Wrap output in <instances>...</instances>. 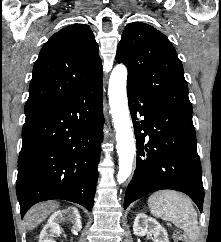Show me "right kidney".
<instances>
[{"mask_svg": "<svg viewBox=\"0 0 221 242\" xmlns=\"http://www.w3.org/2000/svg\"><path fill=\"white\" fill-rule=\"evenodd\" d=\"M67 216L68 220L73 224L72 231L74 233L82 229L79 211L76 207H67L64 210L54 212L47 221L39 236V242H56L55 236L60 234V223Z\"/></svg>", "mask_w": 221, "mask_h": 242, "instance_id": "right-kidney-1", "label": "right kidney"}]
</instances>
